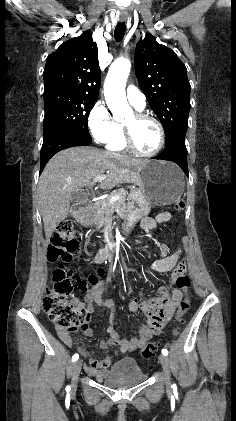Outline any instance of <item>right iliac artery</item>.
<instances>
[{
    "label": "right iliac artery",
    "instance_id": "1",
    "mask_svg": "<svg viewBox=\"0 0 236 421\" xmlns=\"http://www.w3.org/2000/svg\"><path fill=\"white\" fill-rule=\"evenodd\" d=\"M78 358H79V355L78 354H74L73 357H72V361L75 362V361L78 360ZM66 390L69 391L70 390V386H67L66 387Z\"/></svg>",
    "mask_w": 236,
    "mask_h": 421
}]
</instances>
